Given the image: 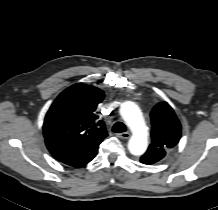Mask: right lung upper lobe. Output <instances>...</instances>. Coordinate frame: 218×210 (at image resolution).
<instances>
[{
    "label": "right lung upper lobe",
    "instance_id": "obj_1",
    "mask_svg": "<svg viewBox=\"0 0 218 210\" xmlns=\"http://www.w3.org/2000/svg\"><path fill=\"white\" fill-rule=\"evenodd\" d=\"M104 92L96 87L74 84L65 89L48 110L43 133L45 139H57L79 146H95L108 135L96 113Z\"/></svg>",
    "mask_w": 218,
    "mask_h": 210
}]
</instances>
